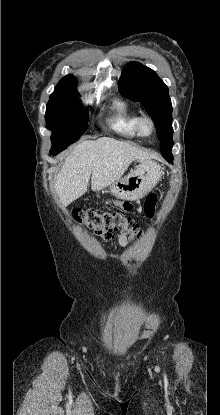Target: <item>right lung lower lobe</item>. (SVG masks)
<instances>
[{
	"label": "right lung lower lobe",
	"instance_id": "right-lung-lower-lobe-1",
	"mask_svg": "<svg viewBox=\"0 0 220 415\" xmlns=\"http://www.w3.org/2000/svg\"><path fill=\"white\" fill-rule=\"evenodd\" d=\"M51 152V154H53V155H56L57 153L56 152H52V151H50Z\"/></svg>",
	"mask_w": 220,
	"mask_h": 415
}]
</instances>
